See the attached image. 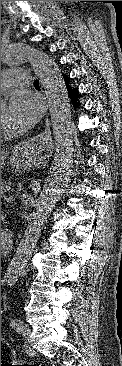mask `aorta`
<instances>
[{
	"instance_id": "1",
	"label": "aorta",
	"mask_w": 122,
	"mask_h": 366,
	"mask_svg": "<svg viewBox=\"0 0 122 366\" xmlns=\"http://www.w3.org/2000/svg\"><path fill=\"white\" fill-rule=\"evenodd\" d=\"M1 63L6 66L29 64L41 78L49 101L50 117L56 152L40 196L21 239L12 264L15 275L22 273L25 262L35 248L47 219L64 193L73 171V127L69 97L65 82L55 62L31 44L18 42L1 47Z\"/></svg>"
}]
</instances>
